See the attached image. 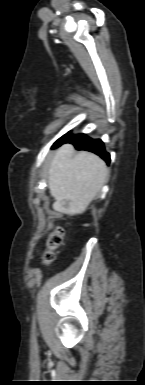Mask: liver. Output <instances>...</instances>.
Listing matches in <instances>:
<instances>
[{
	"label": "liver",
	"instance_id": "1",
	"mask_svg": "<svg viewBox=\"0 0 145 385\" xmlns=\"http://www.w3.org/2000/svg\"><path fill=\"white\" fill-rule=\"evenodd\" d=\"M107 176L106 163L99 156L87 151L75 154L71 144L61 146L48 169V186L55 199L53 209L71 216L83 213Z\"/></svg>",
	"mask_w": 145,
	"mask_h": 385
}]
</instances>
